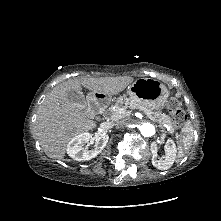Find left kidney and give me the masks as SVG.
<instances>
[{
  "label": "left kidney",
  "mask_w": 221,
  "mask_h": 221,
  "mask_svg": "<svg viewBox=\"0 0 221 221\" xmlns=\"http://www.w3.org/2000/svg\"><path fill=\"white\" fill-rule=\"evenodd\" d=\"M155 143H152L151 145V150H152V164L154 167H156L159 170H167L169 169L175 159H176V153H177V149H176V145L174 143L173 140L169 139L166 142L165 145V158L164 159H157V152L155 150Z\"/></svg>",
  "instance_id": "left-kidney-1"
}]
</instances>
